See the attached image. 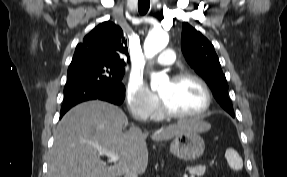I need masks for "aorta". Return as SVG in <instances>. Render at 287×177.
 <instances>
[{
    "instance_id": "obj_1",
    "label": "aorta",
    "mask_w": 287,
    "mask_h": 177,
    "mask_svg": "<svg viewBox=\"0 0 287 177\" xmlns=\"http://www.w3.org/2000/svg\"><path fill=\"white\" fill-rule=\"evenodd\" d=\"M169 42V36L164 31H152L148 34L144 43V52L147 58L154 57L163 50ZM168 77L164 73H153L151 75V89L157 90L160 85L167 82Z\"/></svg>"
}]
</instances>
